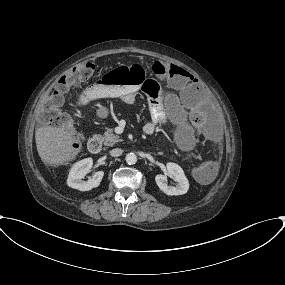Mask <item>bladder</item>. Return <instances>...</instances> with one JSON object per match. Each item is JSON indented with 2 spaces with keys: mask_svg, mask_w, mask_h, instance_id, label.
<instances>
[{
  "mask_svg": "<svg viewBox=\"0 0 285 285\" xmlns=\"http://www.w3.org/2000/svg\"><path fill=\"white\" fill-rule=\"evenodd\" d=\"M190 137H192L190 139ZM193 136L188 130H181L180 141L178 142V147L183 150H188L193 145Z\"/></svg>",
  "mask_w": 285,
  "mask_h": 285,
  "instance_id": "obj_1",
  "label": "bladder"
}]
</instances>
